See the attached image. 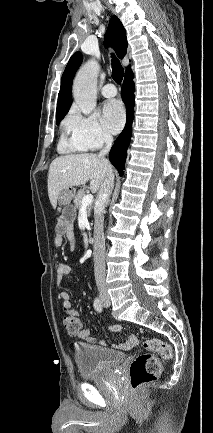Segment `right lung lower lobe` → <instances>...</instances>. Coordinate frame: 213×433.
I'll list each match as a JSON object with an SVG mask.
<instances>
[{
  "label": "right lung lower lobe",
  "mask_w": 213,
  "mask_h": 433,
  "mask_svg": "<svg viewBox=\"0 0 213 433\" xmlns=\"http://www.w3.org/2000/svg\"><path fill=\"white\" fill-rule=\"evenodd\" d=\"M122 100L127 107V122L124 130L115 140L109 153L110 162L117 168L120 176L124 174L127 148L132 135L134 82L131 69L127 70L125 74L124 83L122 85Z\"/></svg>",
  "instance_id": "98d812e1"
}]
</instances>
